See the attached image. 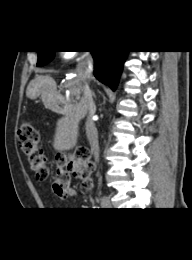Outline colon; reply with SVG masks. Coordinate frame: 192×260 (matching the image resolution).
<instances>
[{"label":"colon","instance_id":"colon-1","mask_svg":"<svg viewBox=\"0 0 192 260\" xmlns=\"http://www.w3.org/2000/svg\"><path fill=\"white\" fill-rule=\"evenodd\" d=\"M18 144L26 155L27 161L36 174V178L45 181L49 178L50 169L46 157L40 145V136L33 123L23 120L19 126ZM94 164L90 160L89 151L86 148L78 149L70 156H63L58 160L55 176L51 186L54 193L66 198L72 177H75L82 187L88 189L92 186V172Z\"/></svg>","mask_w":192,"mask_h":260}]
</instances>
